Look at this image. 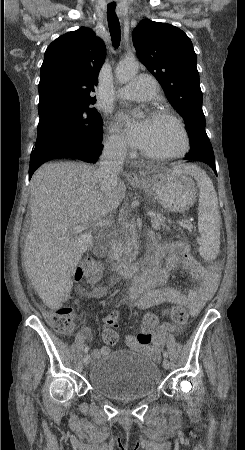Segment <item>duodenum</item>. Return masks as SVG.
<instances>
[{"label": "duodenum", "instance_id": "1", "mask_svg": "<svg viewBox=\"0 0 245 450\" xmlns=\"http://www.w3.org/2000/svg\"><path fill=\"white\" fill-rule=\"evenodd\" d=\"M106 233L109 235V238L107 240V246L109 250H113L116 245L114 231L111 229H107ZM111 265L122 276H132L151 269L155 265V260L152 257H148L144 263L139 262L121 263V264L111 263Z\"/></svg>", "mask_w": 245, "mask_h": 450}]
</instances>
